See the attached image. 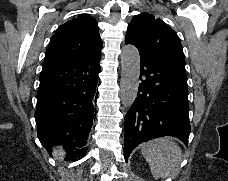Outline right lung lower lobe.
Masks as SVG:
<instances>
[{
	"instance_id": "obj_1",
	"label": "right lung lower lobe",
	"mask_w": 228,
	"mask_h": 181,
	"mask_svg": "<svg viewBox=\"0 0 228 181\" xmlns=\"http://www.w3.org/2000/svg\"><path fill=\"white\" fill-rule=\"evenodd\" d=\"M101 52L44 67L37 93L38 138L48 152L56 143L68 157L85 156L98 92Z\"/></svg>"
}]
</instances>
